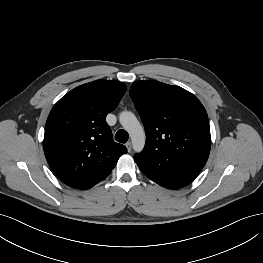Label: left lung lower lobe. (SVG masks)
<instances>
[{
	"mask_svg": "<svg viewBox=\"0 0 263 263\" xmlns=\"http://www.w3.org/2000/svg\"><path fill=\"white\" fill-rule=\"evenodd\" d=\"M134 159L144 175L169 189L187 186L200 172L172 160H150L138 155H135Z\"/></svg>",
	"mask_w": 263,
	"mask_h": 263,
	"instance_id": "left-lung-lower-lobe-1",
	"label": "left lung lower lobe"
}]
</instances>
